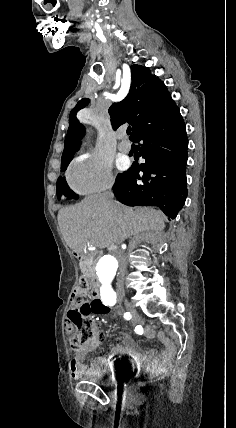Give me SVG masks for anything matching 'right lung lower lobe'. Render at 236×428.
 <instances>
[{
  "label": "right lung lower lobe",
  "mask_w": 236,
  "mask_h": 428,
  "mask_svg": "<svg viewBox=\"0 0 236 428\" xmlns=\"http://www.w3.org/2000/svg\"><path fill=\"white\" fill-rule=\"evenodd\" d=\"M143 141L141 166L133 164L118 174L113 186L116 198L128 206H157L174 219L187 197L185 165L188 141L179 108L154 117L138 128L131 138ZM139 171L144 173L141 181Z\"/></svg>",
  "instance_id": "1"
}]
</instances>
